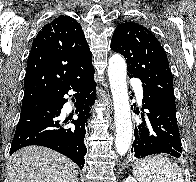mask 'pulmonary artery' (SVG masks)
I'll use <instances>...</instances> for the list:
<instances>
[{
  "label": "pulmonary artery",
  "instance_id": "obj_1",
  "mask_svg": "<svg viewBox=\"0 0 196 182\" xmlns=\"http://www.w3.org/2000/svg\"><path fill=\"white\" fill-rule=\"evenodd\" d=\"M136 94L139 100H142L143 98V93L140 89H136Z\"/></svg>",
  "mask_w": 196,
  "mask_h": 182
}]
</instances>
